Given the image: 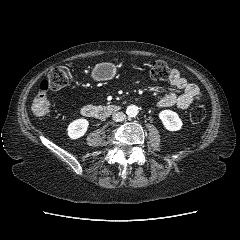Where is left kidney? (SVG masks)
<instances>
[{"instance_id":"1","label":"left kidney","mask_w":240,"mask_h":240,"mask_svg":"<svg viewBox=\"0 0 240 240\" xmlns=\"http://www.w3.org/2000/svg\"><path fill=\"white\" fill-rule=\"evenodd\" d=\"M159 118L164 127L169 131H178L182 128V121L178 114L171 110H163L159 113Z\"/></svg>"}]
</instances>
